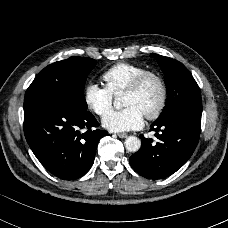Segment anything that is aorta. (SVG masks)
<instances>
[{
  "mask_svg": "<svg viewBox=\"0 0 228 228\" xmlns=\"http://www.w3.org/2000/svg\"><path fill=\"white\" fill-rule=\"evenodd\" d=\"M118 106V107H117ZM121 103L118 100L114 101V107L120 109ZM125 148L129 152H137L141 147V141L136 136H129L124 142Z\"/></svg>",
  "mask_w": 228,
  "mask_h": 228,
  "instance_id": "762f6f07",
  "label": "aorta"
}]
</instances>
